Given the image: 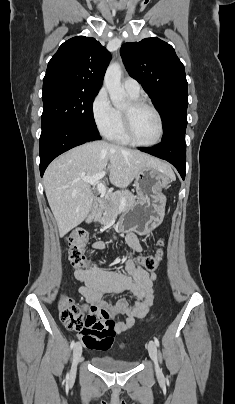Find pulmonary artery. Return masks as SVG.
<instances>
[{"label":"pulmonary artery","instance_id":"pulmonary-artery-1","mask_svg":"<svg viewBox=\"0 0 235 404\" xmlns=\"http://www.w3.org/2000/svg\"><path fill=\"white\" fill-rule=\"evenodd\" d=\"M125 91L130 95H139L140 93V85L133 78H125L122 82Z\"/></svg>","mask_w":235,"mask_h":404}]
</instances>
